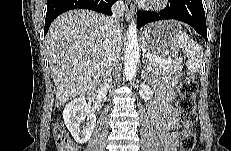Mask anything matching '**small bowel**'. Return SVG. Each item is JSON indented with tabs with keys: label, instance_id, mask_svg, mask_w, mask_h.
I'll return each mask as SVG.
<instances>
[{
	"label": "small bowel",
	"instance_id": "1",
	"mask_svg": "<svg viewBox=\"0 0 231 151\" xmlns=\"http://www.w3.org/2000/svg\"><path fill=\"white\" fill-rule=\"evenodd\" d=\"M173 79L158 84L157 97L151 102L150 117L155 125L164 151H176L182 124L178 120L177 109L172 103L171 85Z\"/></svg>",
	"mask_w": 231,
	"mask_h": 151
}]
</instances>
